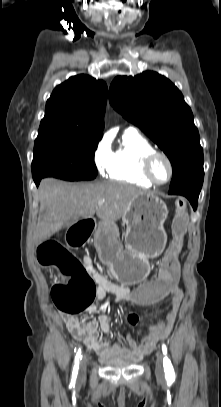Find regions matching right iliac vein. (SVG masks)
<instances>
[{"mask_svg":"<svg viewBox=\"0 0 221 407\" xmlns=\"http://www.w3.org/2000/svg\"><path fill=\"white\" fill-rule=\"evenodd\" d=\"M85 371H86V359H83L79 366V375L83 376L85 374Z\"/></svg>","mask_w":221,"mask_h":407,"instance_id":"63e3f726","label":"right iliac vein"}]
</instances>
